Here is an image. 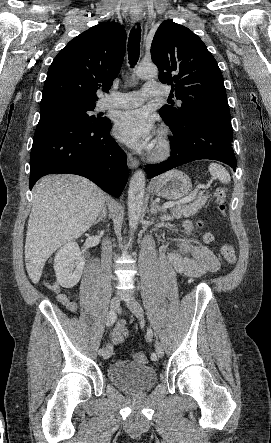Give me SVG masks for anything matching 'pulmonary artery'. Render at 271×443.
Masks as SVG:
<instances>
[{"label": "pulmonary artery", "mask_w": 271, "mask_h": 443, "mask_svg": "<svg viewBox=\"0 0 271 443\" xmlns=\"http://www.w3.org/2000/svg\"><path fill=\"white\" fill-rule=\"evenodd\" d=\"M163 93L164 92L153 89V84L148 82L140 91L128 93L111 91L98 101L97 109L133 108L142 105L146 99Z\"/></svg>", "instance_id": "pulmonary-artery-1"}]
</instances>
